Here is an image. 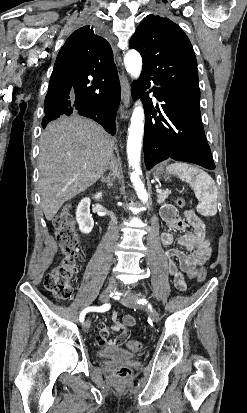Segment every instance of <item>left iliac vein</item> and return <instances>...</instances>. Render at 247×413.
<instances>
[{"label": "left iliac vein", "mask_w": 247, "mask_h": 413, "mask_svg": "<svg viewBox=\"0 0 247 413\" xmlns=\"http://www.w3.org/2000/svg\"><path fill=\"white\" fill-rule=\"evenodd\" d=\"M136 296L134 295H129L127 297H124L121 299V302L123 305L129 307V308H143V309H147V306L144 305H139L136 301H135ZM150 317L154 322H158L159 321V313L155 308H151L150 310Z\"/></svg>", "instance_id": "4c4485c4"}]
</instances>
